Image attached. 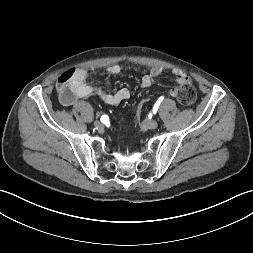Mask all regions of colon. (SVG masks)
<instances>
[{
  "mask_svg": "<svg viewBox=\"0 0 253 253\" xmlns=\"http://www.w3.org/2000/svg\"><path fill=\"white\" fill-rule=\"evenodd\" d=\"M73 77V71L66 72L60 76L58 79V90L60 93V96L62 97H68L69 95V85L70 81ZM153 96L151 94H147L143 96L141 101L139 102L137 108L135 109L134 112V119L135 120H140L141 115L143 114V111L146 109L147 105L150 103V99ZM177 100L182 106H189L193 104L196 98V91L194 87L189 84V85H184L181 86L177 90Z\"/></svg>",
  "mask_w": 253,
  "mask_h": 253,
  "instance_id": "5ec220e1",
  "label": "colon"
}]
</instances>
